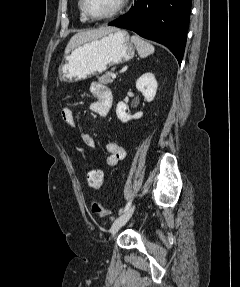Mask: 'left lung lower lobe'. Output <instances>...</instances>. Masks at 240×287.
<instances>
[{
  "label": "left lung lower lobe",
  "mask_w": 240,
  "mask_h": 287,
  "mask_svg": "<svg viewBox=\"0 0 240 287\" xmlns=\"http://www.w3.org/2000/svg\"><path fill=\"white\" fill-rule=\"evenodd\" d=\"M191 0H137L122 17L108 25L132 30L165 45L182 61L186 45Z\"/></svg>",
  "instance_id": "0a47b994"
}]
</instances>
